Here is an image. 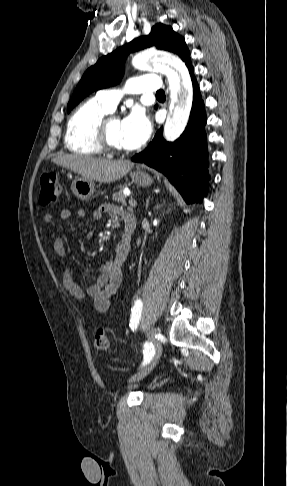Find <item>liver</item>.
I'll return each instance as SVG.
<instances>
[{
    "label": "liver",
    "instance_id": "liver-1",
    "mask_svg": "<svg viewBox=\"0 0 287 486\" xmlns=\"http://www.w3.org/2000/svg\"><path fill=\"white\" fill-rule=\"evenodd\" d=\"M52 162L71 169L84 178L103 183L120 179L134 167V163L129 160L110 161L75 154L59 155Z\"/></svg>",
    "mask_w": 287,
    "mask_h": 486
}]
</instances>
